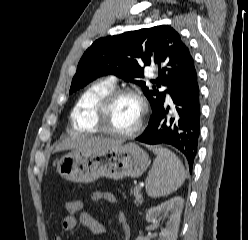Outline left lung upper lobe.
<instances>
[{"label":"left lung upper lobe","mask_w":248,"mask_h":240,"mask_svg":"<svg viewBox=\"0 0 248 240\" xmlns=\"http://www.w3.org/2000/svg\"><path fill=\"white\" fill-rule=\"evenodd\" d=\"M144 66L158 65L152 88L145 85ZM196 71L193 57L180 34L168 25H159L96 40L83 54L69 93L108 74L142 87L152 113L164 104L166 94ZM168 86L166 91H159Z\"/></svg>","instance_id":"obj_1"}]
</instances>
